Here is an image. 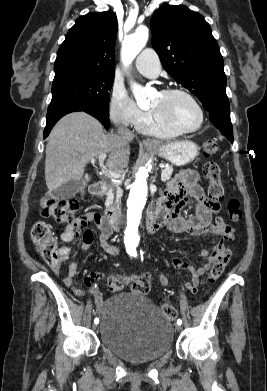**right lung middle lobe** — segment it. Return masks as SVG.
<instances>
[{
  "instance_id": "obj_1",
  "label": "right lung middle lobe",
  "mask_w": 267,
  "mask_h": 391,
  "mask_svg": "<svg viewBox=\"0 0 267 391\" xmlns=\"http://www.w3.org/2000/svg\"><path fill=\"white\" fill-rule=\"evenodd\" d=\"M114 74L68 72L54 77L48 112L67 104L95 107L109 113Z\"/></svg>"
}]
</instances>
